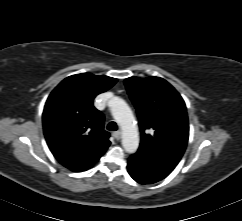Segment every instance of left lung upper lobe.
Here are the masks:
<instances>
[{"instance_id":"5c2ea615","label":"left lung upper lobe","mask_w":242,"mask_h":221,"mask_svg":"<svg viewBox=\"0 0 242 221\" xmlns=\"http://www.w3.org/2000/svg\"><path fill=\"white\" fill-rule=\"evenodd\" d=\"M124 83L139 118V150L177 165L189 136L184 100L173 86L160 77H130Z\"/></svg>"}]
</instances>
